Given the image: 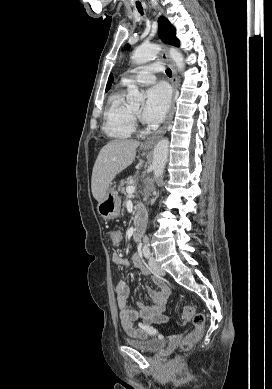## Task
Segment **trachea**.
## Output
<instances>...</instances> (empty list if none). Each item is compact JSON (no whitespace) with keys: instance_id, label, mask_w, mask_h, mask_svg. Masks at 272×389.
Masks as SVG:
<instances>
[{"instance_id":"trachea-1","label":"trachea","mask_w":272,"mask_h":389,"mask_svg":"<svg viewBox=\"0 0 272 389\" xmlns=\"http://www.w3.org/2000/svg\"><path fill=\"white\" fill-rule=\"evenodd\" d=\"M136 7H137L139 13L143 15V8H142V6L140 4H136ZM166 74H167L168 77H171L172 76V71L168 68V69H166Z\"/></svg>"}]
</instances>
